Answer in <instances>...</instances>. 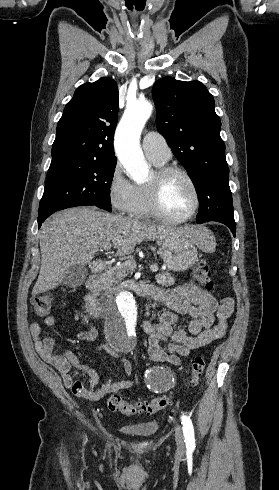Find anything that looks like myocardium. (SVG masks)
Wrapping results in <instances>:
<instances>
[{
	"label": "myocardium",
	"instance_id": "obj_1",
	"mask_svg": "<svg viewBox=\"0 0 279 490\" xmlns=\"http://www.w3.org/2000/svg\"><path fill=\"white\" fill-rule=\"evenodd\" d=\"M173 174L183 176L191 185L194 192V204L190 212L180 218L170 216L163 208L161 196L166 179ZM149 200L152 214L159 219L169 223H183L190 220L197 213L201 204V195L199 187L192 175L183 167L178 165H165L159 167L155 172V178L149 183Z\"/></svg>",
	"mask_w": 279,
	"mask_h": 490
}]
</instances>
